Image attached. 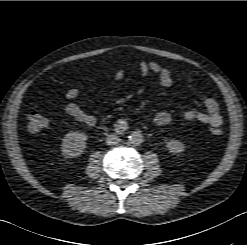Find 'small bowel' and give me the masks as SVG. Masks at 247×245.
<instances>
[{
	"instance_id": "small-bowel-1",
	"label": "small bowel",
	"mask_w": 247,
	"mask_h": 245,
	"mask_svg": "<svg viewBox=\"0 0 247 245\" xmlns=\"http://www.w3.org/2000/svg\"><path fill=\"white\" fill-rule=\"evenodd\" d=\"M140 73L143 77H148L151 74H155L158 77L159 83L164 87H170L173 85V78L169 69L162 67L155 61H140L138 63ZM124 78V72L122 69H118L114 76V82H120ZM81 93L80 87H73L66 93V98L69 100L76 99ZM202 103L205 108L204 111H198L195 109H184L181 113L182 118L185 121H199L207 124L212 128L220 127L223 122V118L220 114L219 104L215 98L211 96L202 97ZM65 112L74 118L76 121L88 126H92L96 122V118L83 110L77 103L69 101L65 105ZM172 120L171 115L168 112L162 111L155 115L154 122L158 126L168 125Z\"/></svg>"
}]
</instances>
